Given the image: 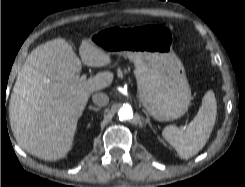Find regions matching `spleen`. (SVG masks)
Returning a JSON list of instances; mask_svg holds the SVG:
<instances>
[{
	"instance_id": "obj_1",
	"label": "spleen",
	"mask_w": 245,
	"mask_h": 187,
	"mask_svg": "<svg viewBox=\"0 0 245 187\" xmlns=\"http://www.w3.org/2000/svg\"><path fill=\"white\" fill-rule=\"evenodd\" d=\"M216 115L215 94L209 90L205 93L202 105L186 131L170 125L163 129L162 136L174 147L181 158L189 159L205 146L215 125Z\"/></svg>"
}]
</instances>
